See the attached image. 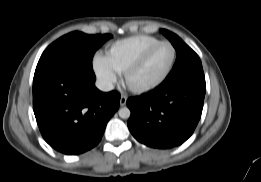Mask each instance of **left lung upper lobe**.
I'll list each match as a JSON object with an SVG mask.
<instances>
[{
    "instance_id": "5c2ea615",
    "label": "left lung upper lobe",
    "mask_w": 261,
    "mask_h": 182,
    "mask_svg": "<svg viewBox=\"0 0 261 182\" xmlns=\"http://www.w3.org/2000/svg\"><path fill=\"white\" fill-rule=\"evenodd\" d=\"M160 31L170 40L177 52L173 69L160 86H169L187 77L204 74L199 56L188 45L176 34L165 29Z\"/></svg>"
}]
</instances>
